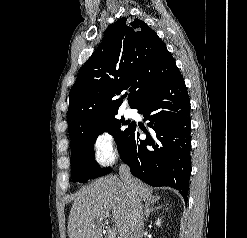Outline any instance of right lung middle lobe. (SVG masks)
<instances>
[{"label": "right lung middle lobe", "instance_id": "dd1d6c3e", "mask_svg": "<svg viewBox=\"0 0 247 238\" xmlns=\"http://www.w3.org/2000/svg\"><path fill=\"white\" fill-rule=\"evenodd\" d=\"M124 119L113 117L87 130L75 144L71 146V173L73 182L84 183L96 177L106 175L112 171L111 168L100 169L95 166L94 143L99 134L107 131L113 135L119 152H121L126 138L130 132L131 124L128 125Z\"/></svg>", "mask_w": 247, "mask_h": 238}]
</instances>
